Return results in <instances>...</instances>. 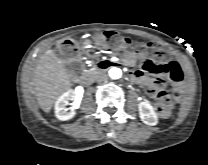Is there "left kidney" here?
Returning a JSON list of instances; mask_svg holds the SVG:
<instances>
[{"instance_id":"obj_1","label":"left kidney","mask_w":208,"mask_h":165,"mask_svg":"<svg viewBox=\"0 0 208 165\" xmlns=\"http://www.w3.org/2000/svg\"><path fill=\"white\" fill-rule=\"evenodd\" d=\"M140 119L143 123L154 126L158 123L157 114L153 106L146 101L140 102L138 104Z\"/></svg>"}]
</instances>
